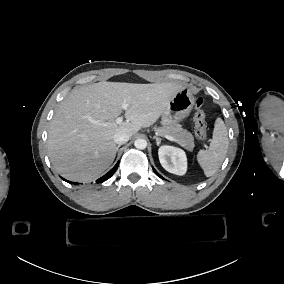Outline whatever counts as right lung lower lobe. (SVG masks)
Returning <instances> with one entry per match:
<instances>
[{"label":"right lung lower lobe","mask_w":284,"mask_h":284,"mask_svg":"<svg viewBox=\"0 0 284 284\" xmlns=\"http://www.w3.org/2000/svg\"><path fill=\"white\" fill-rule=\"evenodd\" d=\"M118 165H119V161L107 174H105L103 177L99 178L96 182L100 183V182H103V181L109 179L114 174L116 169L118 168ZM63 180H65V179H63ZM65 181L70 183V181H67V180H65Z\"/></svg>","instance_id":"obj_1"}]
</instances>
